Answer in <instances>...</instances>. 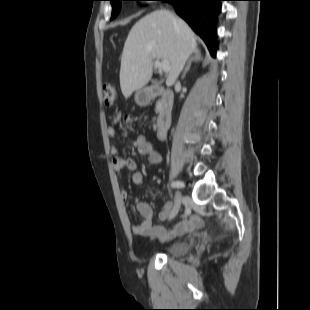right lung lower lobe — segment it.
Returning <instances> with one entry per match:
<instances>
[{"label":"right lung lower lobe","instance_id":"right-lung-lower-lobe-1","mask_svg":"<svg viewBox=\"0 0 310 310\" xmlns=\"http://www.w3.org/2000/svg\"><path fill=\"white\" fill-rule=\"evenodd\" d=\"M174 6L176 13L204 40L212 56H216L217 16L223 0H160Z\"/></svg>","mask_w":310,"mask_h":310}]
</instances>
